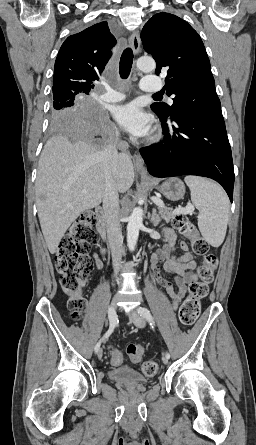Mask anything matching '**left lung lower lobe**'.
I'll list each match as a JSON object with an SVG mask.
<instances>
[{
	"mask_svg": "<svg viewBox=\"0 0 256 445\" xmlns=\"http://www.w3.org/2000/svg\"><path fill=\"white\" fill-rule=\"evenodd\" d=\"M159 119L165 140L140 149L150 174L212 178L232 202L234 170L222 112L182 107L170 118Z\"/></svg>",
	"mask_w": 256,
	"mask_h": 445,
	"instance_id": "obj_1",
	"label": "left lung lower lobe"
}]
</instances>
